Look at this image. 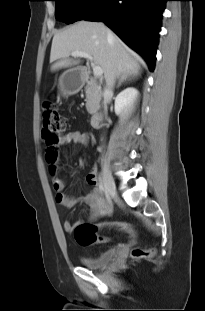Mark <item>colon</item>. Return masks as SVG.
Returning a JSON list of instances; mask_svg holds the SVG:
<instances>
[{
  "label": "colon",
  "mask_w": 205,
  "mask_h": 311,
  "mask_svg": "<svg viewBox=\"0 0 205 311\" xmlns=\"http://www.w3.org/2000/svg\"><path fill=\"white\" fill-rule=\"evenodd\" d=\"M65 130L66 120L62 114L55 108L46 107L42 113V138L48 146L46 157L50 163H53L57 157L53 146L60 141ZM108 229H117L128 234H134L133 226L127 222H102L97 225L89 222H80L74 228L73 236L80 246L106 243L108 238L99 234V231ZM152 254L153 250L141 248H135L131 253L134 259L146 258Z\"/></svg>",
  "instance_id": "5ec220e1"
}]
</instances>
